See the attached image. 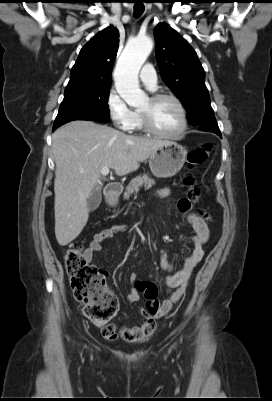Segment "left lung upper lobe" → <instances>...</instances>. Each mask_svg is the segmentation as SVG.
I'll use <instances>...</instances> for the list:
<instances>
[{
  "mask_svg": "<svg viewBox=\"0 0 272 401\" xmlns=\"http://www.w3.org/2000/svg\"><path fill=\"white\" fill-rule=\"evenodd\" d=\"M154 36L162 80L182 102L189 123L200 126L216 122L205 72L195 50L167 24H158Z\"/></svg>",
  "mask_w": 272,
  "mask_h": 401,
  "instance_id": "left-lung-upper-lobe-1",
  "label": "left lung upper lobe"
}]
</instances>
